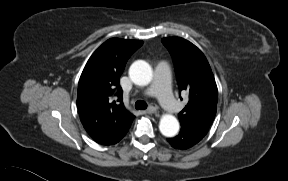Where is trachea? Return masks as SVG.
<instances>
[{
	"label": "trachea",
	"mask_w": 288,
	"mask_h": 181,
	"mask_svg": "<svg viewBox=\"0 0 288 181\" xmlns=\"http://www.w3.org/2000/svg\"><path fill=\"white\" fill-rule=\"evenodd\" d=\"M135 108H136L137 110L146 109V108H147V103H146L145 101L138 100V101L135 103Z\"/></svg>",
	"instance_id": "1"
}]
</instances>
